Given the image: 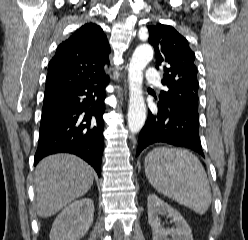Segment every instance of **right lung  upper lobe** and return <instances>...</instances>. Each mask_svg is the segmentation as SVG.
<instances>
[{
	"mask_svg": "<svg viewBox=\"0 0 248 240\" xmlns=\"http://www.w3.org/2000/svg\"><path fill=\"white\" fill-rule=\"evenodd\" d=\"M111 49L102 28L87 23L62 42L49 62L45 93L49 94L88 80L106 77Z\"/></svg>",
	"mask_w": 248,
	"mask_h": 240,
	"instance_id": "1",
	"label": "right lung upper lobe"
}]
</instances>
